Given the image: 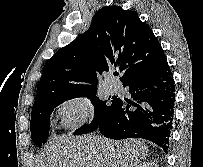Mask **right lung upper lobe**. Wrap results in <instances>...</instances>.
I'll use <instances>...</instances> for the list:
<instances>
[{
    "label": "right lung upper lobe",
    "mask_w": 203,
    "mask_h": 167,
    "mask_svg": "<svg viewBox=\"0 0 203 167\" xmlns=\"http://www.w3.org/2000/svg\"><path fill=\"white\" fill-rule=\"evenodd\" d=\"M165 61L158 40L136 12L108 6L95 13L85 33L45 63L33 108L53 98L96 91V70L119 67L124 83Z\"/></svg>",
    "instance_id": "1"
}]
</instances>
